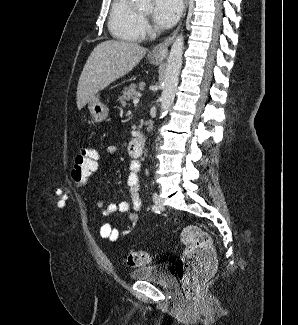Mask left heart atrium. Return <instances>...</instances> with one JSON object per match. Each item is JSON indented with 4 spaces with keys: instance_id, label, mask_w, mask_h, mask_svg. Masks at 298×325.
<instances>
[{
    "instance_id": "1",
    "label": "left heart atrium",
    "mask_w": 298,
    "mask_h": 325,
    "mask_svg": "<svg viewBox=\"0 0 298 325\" xmlns=\"http://www.w3.org/2000/svg\"><path fill=\"white\" fill-rule=\"evenodd\" d=\"M181 12V0H154L151 17L159 28L167 29L177 22Z\"/></svg>"
}]
</instances>
